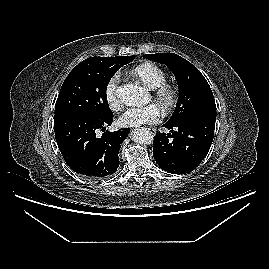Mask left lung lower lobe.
I'll list each match as a JSON object with an SVG mask.
<instances>
[{"instance_id": "0a47b994", "label": "left lung lower lobe", "mask_w": 269, "mask_h": 269, "mask_svg": "<svg viewBox=\"0 0 269 269\" xmlns=\"http://www.w3.org/2000/svg\"><path fill=\"white\" fill-rule=\"evenodd\" d=\"M216 111L197 113L176 124L163 126L170 133L157 132L153 156L161 169L172 174L193 171L206 157L213 141Z\"/></svg>"}]
</instances>
